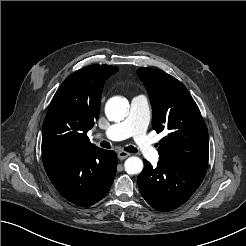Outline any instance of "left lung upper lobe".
<instances>
[{
	"label": "left lung upper lobe",
	"mask_w": 246,
	"mask_h": 246,
	"mask_svg": "<svg viewBox=\"0 0 246 246\" xmlns=\"http://www.w3.org/2000/svg\"><path fill=\"white\" fill-rule=\"evenodd\" d=\"M148 91L152 126L168 135L160 140V159L208 164V131L199 108L186 87L164 71L151 67L138 69Z\"/></svg>",
	"instance_id": "1"
}]
</instances>
